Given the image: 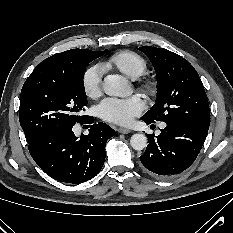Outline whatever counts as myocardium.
I'll return each instance as SVG.
<instances>
[{"label": "myocardium", "mask_w": 233, "mask_h": 233, "mask_svg": "<svg viewBox=\"0 0 233 233\" xmlns=\"http://www.w3.org/2000/svg\"><path fill=\"white\" fill-rule=\"evenodd\" d=\"M140 88L147 95H153L155 92V85L149 80L142 81L140 83Z\"/></svg>", "instance_id": "f54148a6"}]
</instances>
